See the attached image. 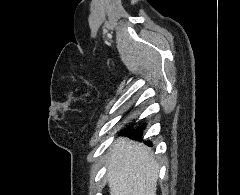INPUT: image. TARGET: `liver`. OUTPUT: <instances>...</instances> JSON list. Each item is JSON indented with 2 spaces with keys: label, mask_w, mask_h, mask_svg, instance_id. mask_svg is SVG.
I'll return each mask as SVG.
<instances>
[{
  "label": "liver",
  "mask_w": 240,
  "mask_h": 195,
  "mask_svg": "<svg viewBox=\"0 0 240 195\" xmlns=\"http://www.w3.org/2000/svg\"><path fill=\"white\" fill-rule=\"evenodd\" d=\"M109 149L106 177L110 195H156L159 163L149 147L118 137Z\"/></svg>",
  "instance_id": "1"
}]
</instances>
